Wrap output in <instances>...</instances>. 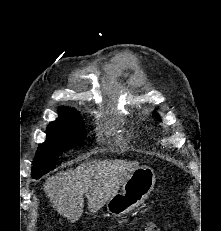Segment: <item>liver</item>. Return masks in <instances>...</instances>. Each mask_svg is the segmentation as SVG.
<instances>
[{"instance_id": "1", "label": "liver", "mask_w": 221, "mask_h": 231, "mask_svg": "<svg viewBox=\"0 0 221 231\" xmlns=\"http://www.w3.org/2000/svg\"><path fill=\"white\" fill-rule=\"evenodd\" d=\"M137 168L138 162L127 160L83 163L75 170L47 178L44 191L60 215L76 222L83 213L84 196L88 199V209L97 212L118 193Z\"/></svg>"}]
</instances>
